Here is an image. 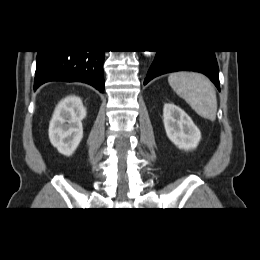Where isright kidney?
<instances>
[{"instance_id":"ca27d5eb","label":"right kidney","mask_w":260,"mask_h":260,"mask_svg":"<svg viewBox=\"0 0 260 260\" xmlns=\"http://www.w3.org/2000/svg\"><path fill=\"white\" fill-rule=\"evenodd\" d=\"M85 117L86 108L77 96H68L57 105L49 124V139L61 154L70 156L78 147Z\"/></svg>"}]
</instances>
